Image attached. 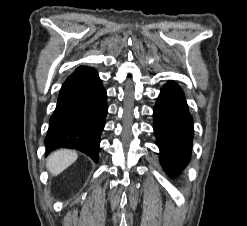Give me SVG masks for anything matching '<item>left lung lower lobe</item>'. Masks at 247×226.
Returning a JSON list of instances; mask_svg holds the SVG:
<instances>
[{"label":"left lung lower lobe","mask_w":247,"mask_h":226,"mask_svg":"<svg viewBox=\"0 0 247 226\" xmlns=\"http://www.w3.org/2000/svg\"><path fill=\"white\" fill-rule=\"evenodd\" d=\"M154 118L161 162L168 173L176 174L190 159L193 122L184 94L175 83L164 85L157 99Z\"/></svg>","instance_id":"1"}]
</instances>
